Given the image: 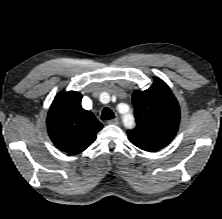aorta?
<instances>
[{"label": "aorta", "instance_id": "aorta-1", "mask_svg": "<svg viewBox=\"0 0 222 219\" xmlns=\"http://www.w3.org/2000/svg\"><path fill=\"white\" fill-rule=\"evenodd\" d=\"M122 107L128 108L126 105H123ZM123 123L127 128H132L134 126V116L130 111H127V113L123 116Z\"/></svg>", "mask_w": 222, "mask_h": 219}]
</instances>
